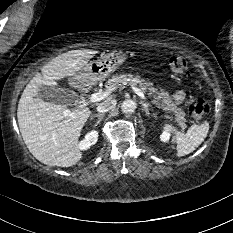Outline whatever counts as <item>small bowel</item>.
Instances as JSON below:
<instances>
[{"label":"small bowel","instance_id":"small-bowel-1","mask_svg":"<svg viewBox=\"0 0 233 233\" xmlns=\"http://www.w3.org/2000/svg\"><path fill=\"white\" fill-rule=\"evenodd\" d=\"M186 98V93L183 90H178L174 93L173 99L177 104H182Z\"/></svg>","mask_w":233,"mask_h":233}]
</instances>
